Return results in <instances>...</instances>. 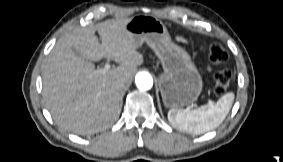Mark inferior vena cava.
<instances>
[{"mask_svg": "<svg viewBox=\"0 0 283 162\" xmlns=\"http://www.w3.org/2000/svg\"><path fill=\"white\" fill-rule=\"evenodd\" d=\"M117 85L123 88L125 86V80L123 78L118 79Z\"/></svg>", "mask_w": 283, "mask_h": 162, "instance_id": "inferior-vena-cava-1", "label": "inferior vena cava"}]
</instances>
